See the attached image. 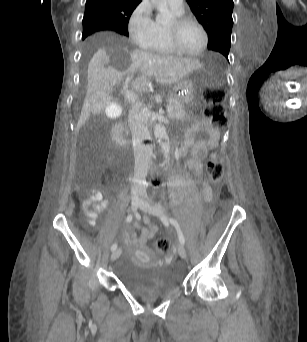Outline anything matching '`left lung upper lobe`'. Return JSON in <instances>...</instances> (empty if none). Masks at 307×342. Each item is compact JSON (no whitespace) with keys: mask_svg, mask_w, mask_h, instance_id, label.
I'll return each mask as SVG.
<instances>
[{"mask_svg":"<svg viewBox=\"0 0 307 342\" xmlns=\"http://www.w3.org/2000/svg\"><path fill=\"white\" fill-rule=\"evenodd\" d=\"M197 20L207 31L208 49L228 59L233 26V0H186Z\"/></svg>","mask_w":307,"mask_h":342,"instance_id":"5c2ea615","label":"left lung upper lobe"}]
</instances>
